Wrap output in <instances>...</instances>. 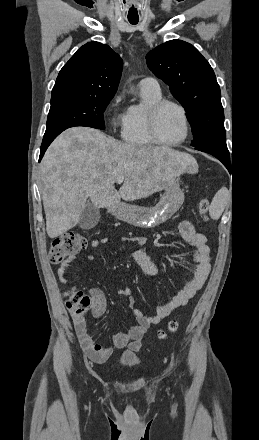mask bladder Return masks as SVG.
I'll return each mask as SVG.
<instances>
[{"mask_svg":"<svg viewBox=\"0 0 259 440\" xmlns=\"http://www.w3.org/2000/svg\"><path fill=\"white\" fill-rule=\"evenodd\" d=\"M139 361V356L130 351L123 352L118 358L119 365L124 367L137 365Z\"/></svg>","mask_w":259,"mask_h":440,"instance_id":"31cf9c89","label":"bladder"}]
</instances>
